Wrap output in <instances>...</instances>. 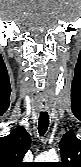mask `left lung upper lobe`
<instances>
[{
    "mask_svg": "<svg viewBox=\"0 0 81 167\" xmlns=\"http://www.w3.org/2000/svg\"><path fill=\"white\" fill-rule=\"evenodd\" d=\"M59 147L62 162L56 163V167H81V140L73 132L63 135Z\"/></svg>",
    "mask_w": 81,
    "mask_h": 167,
    "instance_id": "left-lung-upper-lobe-1",
    "label": "left lung upper lobe"
}]
</instances>
